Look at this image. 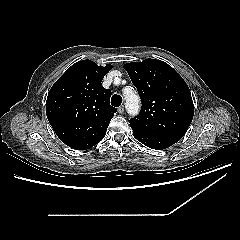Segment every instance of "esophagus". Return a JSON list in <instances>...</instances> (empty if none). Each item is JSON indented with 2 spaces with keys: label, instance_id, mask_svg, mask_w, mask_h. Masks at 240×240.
<instances>
[{
  "label": "esophagus",
  "instance_id": "esophagus-1",
  "mask_svg": "<svg viewBox=\"0 0 240 240\" xmlns=\"http://www.w3.org/2000/svg\"><path fill=\"white\" fill-rule=\"evenodd\" d=\"M118 113H120V114L124 113V105H121V106L118 108Z\"/></svg>",
  "mask_w": 240,
  "mask_h": 240
}]
</instances>
